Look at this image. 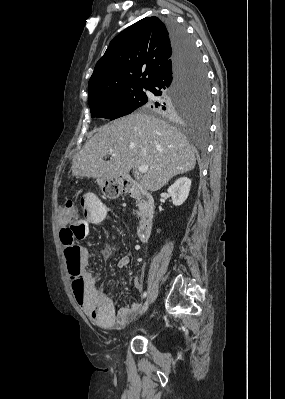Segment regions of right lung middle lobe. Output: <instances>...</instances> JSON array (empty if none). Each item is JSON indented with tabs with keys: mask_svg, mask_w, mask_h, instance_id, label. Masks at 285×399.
Listing matches in <instances>:
<instances>
[{
	"mask_svg": "<svg viewBox=\"0 0 285 399\" xmlns=\"http://www.w3.org/2000/svg\"><path fill=\"white\" fill-rule=\"evenodd\" d=\"M144 88L150 91V87H140L89 100L91 117L114 120L130 114L142 106L152 108L165 115L182 116L185 113H196L206 118L209 114L210 89L206 70L197 49H195L192 61L179 82L169 94L161 96L164 100L172 101V109L168 111L161 105V102L154 103V100L146 95Z\"/></svg>",
	"mask_w": 285,
	"mask_h": 399,
	"instance_id": "right-lung-middle-lobe-1",
	"label": "right lung middle lobe"
}]
</instances>
